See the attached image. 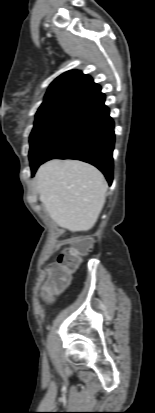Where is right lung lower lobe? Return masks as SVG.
Masks as SVG:
<instances>
[{"instance_id": "98d812e1", "label": "right lung lower lobe", "mask_w": 155, "mask_h": 413, "mask_svg": "<svg viewBox=\"0 0 155 413\" xmlns=\"http://www.w3.org/2000/svg\"><path fill=\"white\" fill-rule=\"evenodd\" d=\"M104 102L105 95L98 92L78 106L56 144L42 161L31 166L32 175L40 164L50 159H77L96 166L108 183H112L114 122Z\"/></svg>"}]
</instances>
